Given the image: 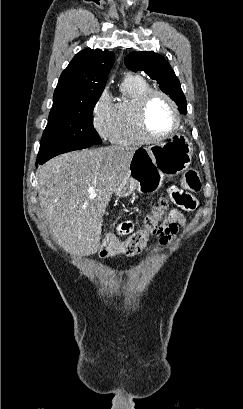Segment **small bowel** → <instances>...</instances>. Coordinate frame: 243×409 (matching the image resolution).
Here are the masks:
<instances>
[{"label":"small bowel","instance_id":"small-bowel-1","mask_svg":"<svg viewBox=\"0 0 243 409\" xmlns=\"http://www.w3.org/2000/svg\"><path fill=\"white\" fill-rule=\"evenodd\" d=\"M168 193L172 199H175L176 196H183L187 200V204H177L178 207L171 210L168 216L165 218L163 224L166 227L167 231L163 236L160 237V245H166L178 233L179 226L185 225L186 218L183 211L193 210L197 206V199L194 196L185 193L176 187H171L168 190Z\"/></svg>","mask_w":243,"mask_h":409}]
</instances>
